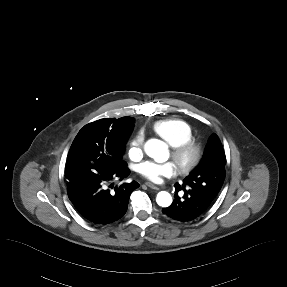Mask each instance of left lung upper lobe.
Returning a JSON list of instances; mask_svg holds the SVG:
<instances>
[{
  "mask_svg": "<svg viewBox=\"0 0 287 287\" xmlns=\"http://www.w3.org/2000/svg\"><path fill=\"white\" fill-rule=\"evenodd\" d=\"M226 157L222 144L213 134L199 165L183 180L182 186L214 201L225 179Z\"/></svg>",
  "mask_w": 287,
  "mask_h": 287,
  "instance_id": "1",
  "label": "left lung upper lobe"
}]
</instances>
